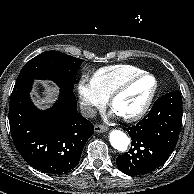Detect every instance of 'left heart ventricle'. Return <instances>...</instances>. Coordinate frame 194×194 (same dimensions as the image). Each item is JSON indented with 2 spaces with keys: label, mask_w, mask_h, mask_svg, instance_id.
<instances>
[{
  "label": "left heart ventricle",
  "mask_w": 194,
  "mask_h": 194,
  "mask_svg": "<svg viewBox=\"0 0 194 194\" xmlns=\"http://www.w3.org/2000/svg\"><path fill=\"white\" fill-rule=\"evenodd\" d=\"M153 88L154 80L151 77L141 78L115 100L114 111L119 116L135 114L142 108Z\"/></svg>",
  "instance_id": "obj_1"
}]
</instances>
